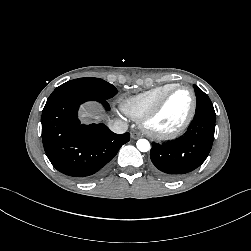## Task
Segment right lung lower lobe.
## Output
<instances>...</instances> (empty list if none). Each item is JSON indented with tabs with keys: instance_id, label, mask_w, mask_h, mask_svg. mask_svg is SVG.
Wrapping results in <instances>:
<instances>
[{
	"instance_id": "1",
	"label": "right lung lower lobe",
	"mask_w": 251,
	"mask_h": 251,
	"mask_svg": "<svg viewBox=\"0 0 251 251\" xmlns=\"http://www.w3.org/2000/svg\"><path fill=\"white\" fill-rule=\"evenodd\" d=\"M98 101L106 109V100L80 94L48 98L42 112V140L47 157L61 173L82 181L103 175L130 134H115L104 124H80V105Z\"/></svg>"
}]
</instances>
